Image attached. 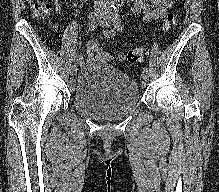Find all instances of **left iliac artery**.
I'll return each mask as SVG.
<instances>
[{
    "instance_id": "44dca946",
    "label": "left iliac artery",
    "mask_w": 219,
    "mask_h": 192,
    "mask_svg": "<svg viewBox=\"0 0 219 192\" xmlns=\"http://www.w3.org/2000/svg\"><path fill=\"white\" fill-rule=\"evenodd\" d=\"M115 14H114V26L117 28V30L122 31V24L120 20V15H119V5H116L114 8ZM143 72H148L147 66L143 67Z\"/></svg>"
}]
</instances>
